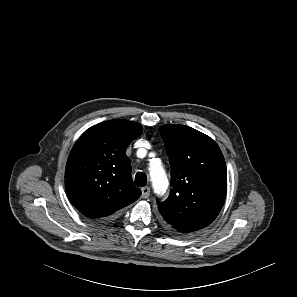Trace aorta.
Wrapping results in <instances>:
<instances>
[{
  "label": "aorta",
  "instance_id": "762f6f07",
  "mask_svg": "<svg viewBox=\"0 0 297 297\" xmlns=\"http://www.w3.org/2000/svg\"><path fill=\"white\" fill-rule=\"evenodd\" d=\"M150 178L154 192L157 195L165 193L168 187V179L165 170L160 164L152 165L150 168Z\"/></svg>",
  "mask_w": 297,
  "mask_h": 297
}]
</instances>
